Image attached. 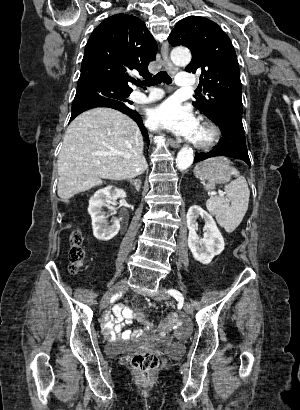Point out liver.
I'll list each match as a JSON object with an SVG mask.
<instances>
[{"label":"liver","mask_w":300,"mask_h":410,"mask_svg":"<svg viewBox=\"0 0 300 410\" xmlns=\"http://www.w3.org/2000/svg\"><path fill=\"white\" fill-rule=\"evenodd\" d=\"M143 137L127 115L110 108H94L68 126L58 157V196L74 195L102 184L121 181L147 169Z\"/></svg>","instance_id":"6515ba94"}]
</instances>
